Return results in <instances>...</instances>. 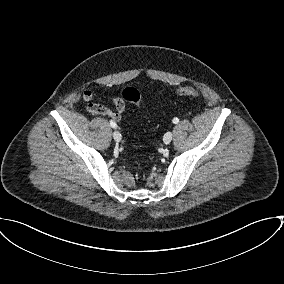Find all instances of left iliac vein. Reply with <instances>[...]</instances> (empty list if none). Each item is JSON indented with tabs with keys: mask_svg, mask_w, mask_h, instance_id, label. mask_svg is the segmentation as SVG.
I'll return each instance as SVG.
<instances>
[{
	"mask_svg": "<svg viewBox=\"0 0 284 284\" xmlns=\"http://www.w3.org/2000/svg\"><path fill=\"white\" fill-rule=\"evenodd\" d=\"M172 138H173L172 132H167L163 137V141H164L165 144H169L171 142Z\"/></svg>",
	"mask_w": 284,
	"mask_h": 284,
	"instance_id": "4c4485c4",
	"label": "left iliac vein"
}]
</instances>
